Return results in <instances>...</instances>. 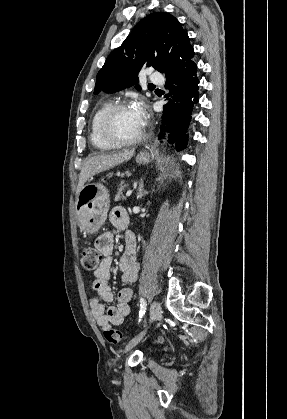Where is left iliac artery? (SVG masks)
<instances>
[{
    "label": "left iliac artery",
    "instance_id": "obj_1",
    "mask_svg": "<svg viewBox=\"0 0 287 419\" xmlns=\"http://www.w3.org/2000/svg\"><path fill=\"white\" fill-rule=\"evenodd\" d=\"M146 306H147L146 300L144 298H141L140 299L139 322L141 321V318L145 314Z\"/></svg>",
    "mask_w": 287,
    "mask_h": 419
}]
</instances>
